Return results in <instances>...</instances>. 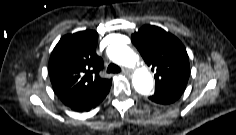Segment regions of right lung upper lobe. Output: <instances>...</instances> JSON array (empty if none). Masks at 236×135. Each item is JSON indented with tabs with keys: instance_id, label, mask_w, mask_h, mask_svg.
Instances as JSON below:
<instances>
[{
	"instance_id": "right-lung-upper-lobe-1",
	"label": "right lung upper lobe",
	"mask_w": 236,
	"mask_h": 135,
	"mask_svg": "<svg viewBox=\"0 0 236 135\" xmlns=\"http://www.w3.org/2000/svg\"><path fill=\"white\" fill-rule=\"evenodd\" d=\"M98 33L85 30L63 36L51 53L49 75L61 99L92 95L111 82L99 76L103 60L96 54Z\"/></svg>"
}]
</instances>
